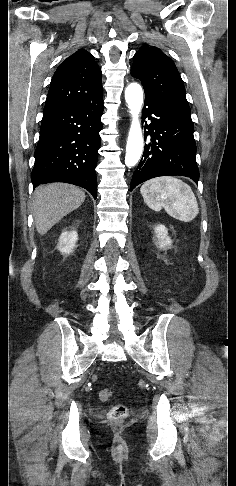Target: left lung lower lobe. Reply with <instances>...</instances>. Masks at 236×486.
Here are the masks:
<instances>
[{"mask_svg":"<svg viewBox=\"0 0 236 486\" xmlns=\"http://www.w3.org/2000/svg\"><path fill=\"white\" fill-rule=\"evenodd\" d=\"M142 122H145V136H150L151 142L145 145L142 159L132 177L130 191L140 183L159 176H186L198 183L191 117L178 114L153 96L145 94Z\"/></svg>","mask_w":236,"mask_h":486,"instance_id":"0a47b994","label":"left lung lower lobe"}]
</instances>
